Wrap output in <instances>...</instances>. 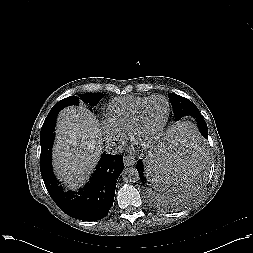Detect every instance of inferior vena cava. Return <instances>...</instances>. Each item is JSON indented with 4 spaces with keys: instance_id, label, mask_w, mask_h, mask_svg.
Masks as SVG:
<instances>
[{
    "instance_id": "602c4592",
    "label": "inferior vena cava",
    "mask_w": 253,
    "mask_h": 253,
    "mask_svg": "<svg viewBox=\"0 0 253 253\" xmlns=\"http://www.w3.org/2000/svg\"><path fill=\"white\" fill-rule=\"evenodd\" d=\"M106 152L107 153H111V154H118L120 152H122V147L121 146H117V144L115 142H106Z\"/></svg>"
}]
</instances>
